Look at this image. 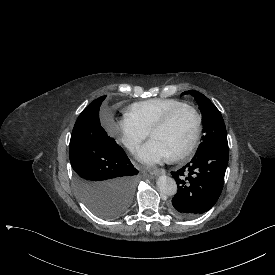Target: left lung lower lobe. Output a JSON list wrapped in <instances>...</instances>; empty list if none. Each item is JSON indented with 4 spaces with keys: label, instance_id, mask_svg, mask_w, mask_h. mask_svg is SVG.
Instances as JSON below:
<instances>
[{
    "label": "left lung lower lobe",
    "instance_id": "obj_1",
    "mask_svg": "<svg viewBox=\"0 0 275 275\" xmlns=\"http://www.w3.org/2000/svg\"><path fill=\"white\" fill-rule=\"evenodd\" d=\"M229 149L212 147L195 155L192 161L171 172L178 186L170 211L180 217H195L210 210L223 188Z\"/></svg>",
    "mask_w": 275,
    "mask_h": 275
}]
</instances>
